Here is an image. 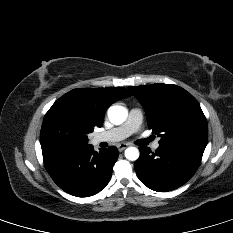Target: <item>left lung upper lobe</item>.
I'll return each mask as SVG.
<instances>
[{
	"label": "left lung upper lobe",
	"instance_id": "1",
	"mask_svg": "<svg viewBox=\"0 0 233 233\" xmlns=\"http://www.w3.org/2000/svg\"><path fill=\"white\" fill-rule=\"evenodd\" d=\"M128 88L144 107L149 128L161 137L160 145L207 144L206 118L189 92L172 84Z\"/></svg>",
	"mask_w": 233,
	"mask_h": 233
}]
</instances>
